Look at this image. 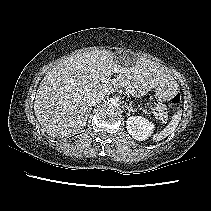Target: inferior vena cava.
I'll return each instance as SVG.
<instances>
[{"mask_svg":"<svg viewBox=\"0 0 211 211\" xmlns=\"http://www.w3.org/2000/svg\"><path fill=\"white\" fill-rule=\"evenodd\" d=\"M104 97H105V94L102 93V92H98L96 94H93V95L88 97V105L89 106H94L96 104H99V103L102 102Z\"/></svg>","mask_w":211,"mask_h":211,"instance_id":"602c4592","label":"inferior vena cava"}]
</instances>
